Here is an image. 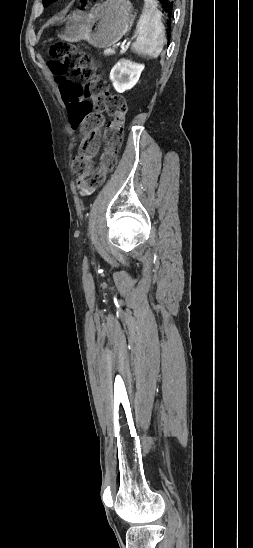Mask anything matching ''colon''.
I'll return each mask as SVG.
<instances>
[{
	"label": "colon",
	"mask_w": 253,
	"mask_h": 548,
	"mask_svg": "<svg viewBox=\"0 0 253 548\" xmlns=\"http://www.w3.org/2000/svg\"><path fill=\"white\" fill-rule=\"evenodd\" d=\"M98 0H81L84 5ZM50 70L60 88L72 125L80 128L84 137L78 154L73 160V170L92 187L101 186L113 172L121 148L124 118L127 112L125 98L110 92L106 81L99 75L93 58L80 48L67 43L56 42L49 49ZM71 72L83 83L75 84ZM110 121L103 133L104 147L99 163L93 166V158L99 146V134L103 126V114Z\"/></svg>",
	"instance_id": "5ec220e1"
}]
</instances>
